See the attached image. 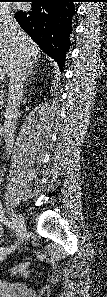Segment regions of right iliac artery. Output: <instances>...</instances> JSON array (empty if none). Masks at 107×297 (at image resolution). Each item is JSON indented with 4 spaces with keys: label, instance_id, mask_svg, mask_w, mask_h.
<instances>
[{
    "label": "right iliac artery",
    "instance_id": "1",
    "mask_svg": "<svg viewBox=\"0 0 107 297\" xmlns=\"http://www.w3.org/2000/svg\"><path fill=\"white\" fill-rule=\"evenodd\" d=\"M1 209L2 208L0 207V213H1V215H0L1 220L0 221L3 224H5L8 227H10L11 229L15 230L17 236H21V232L16 228L14 220L12 222L10 220H8V218L4 214L5 213V210L4 209L1 210ZM7 250H9V248H3L2 247V248H0V253L2 254L4 251H7Z\"/></svg>",
    "mask_w": 107,
    "mask_h": 297
}]
</instances>
